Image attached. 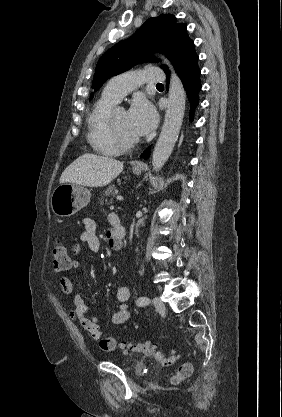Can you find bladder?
Returning <instances> with one entry per match:
<instances>
[{
    "label": "bladder",
    "instance_id": "31cf9c89",
    "mask_svg": "<svg viewBox=\"0 0 282 417\" xmlns=\"http://www.w3.org/2000/svg\"><path fill=\"white\" fill-rule=\"evenodd\" d=\"M131 371L136 375H142L146 371V366L143 362L136 361L130 366Z\"/></svg>",
    "mask_w": 282,
    "mask_h": 417
}]
</instances>
